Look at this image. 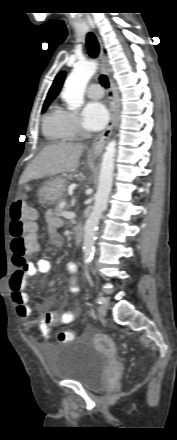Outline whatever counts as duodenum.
Instances as JSON below:
<instances>
[{
	"label": "duodenum",
	"mask_w": 177,
	"mask_h": 440,
	"mask_svg": "<svg viewBox=\"0 0 177 440\" xmlns=\"http://www.w3.org/2000/svg\"><path fill=\"white\" fill-rule=\"evenodd\" d=\"M73 234H74L75 244L80 245L83 240V236H84V231H83L82 226H75L73 228Z\"/></svg>",
	"instance_id": "410a0bca"
}]
</instances>
